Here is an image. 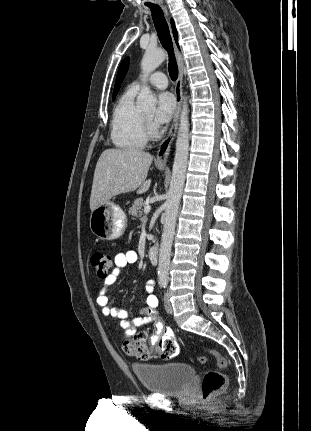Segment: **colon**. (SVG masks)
I'll return each instance as SVG.
<instances>
[{
  "label": "colon",
  "instance_id": "obj_1",
  "mask_svg": "<svg viewBox=\"0 0 311 431\" xmlns=\"http://www.w3.org/2000/svg\"><path fill=\"white\" fill-rule=\"evenodd\" d=\"M90 263L95 273L100 278L108 276L113 264V257L110 253L102 250L94 251L90 256ZM123 350L130 356L142 360L153 358L171 359L179 354V345L173 336H165L159 340H151L143 334L124 342ZM207 352L216 361V369L209 370L202 379V393L204 397H209L213 393L223 389L227 382L226 370L228 368L227 359L217 350L207 348ZM199 363L204 364L206 357L200 356Z\"/></svg>",
  "mask_w": 311,
  "mask_h": 431
}]
</instances>
